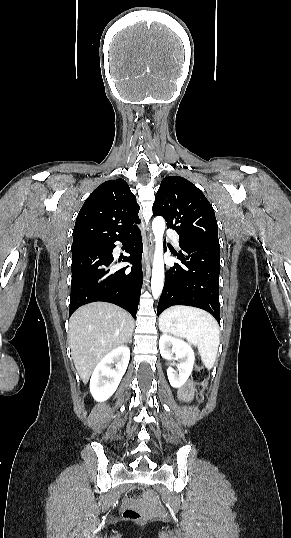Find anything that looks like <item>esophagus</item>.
<instances>
[{
	"label": "esophagus",
	"instance_id": "34e87169",
	"mask_svg": "<svg viewBox=\"0 0 291 538\" xmlns=\"http://www.w3.org/2000/svg\"><path fill=\"white\" fill-rule=\"evenodd\" d=\"M154 242H153V235L151 232L148 234V243L146 245V249L143 254V266L147 267L152 262L153 258V248Z\"/></svg>",
	"mask_w": 291,
	"mask_h": 538
}]
</instances>
